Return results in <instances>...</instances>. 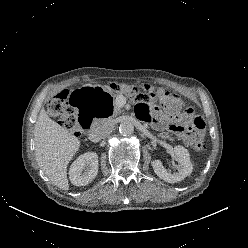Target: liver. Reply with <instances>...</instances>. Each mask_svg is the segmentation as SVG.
<instances>
[{
  "instance_id": "6515ba94",
  "label": "liver",
  "mask_w": 248,
  "mask_h": 248,
  "mask_svg": "<svg viewBox=\"0 0 248 248\" xmlns=\"http://www.w3.org/2000/svg\"><path fill=\"white\" fill-rule=\"evenodd\" d=\"M36 161L57 187L68 190L67 166L80 147V140L53 121L41 109L34 128Z\"/></svg>"
}]
</instances>
